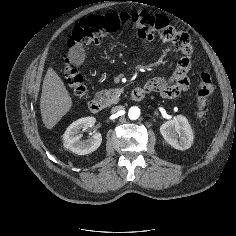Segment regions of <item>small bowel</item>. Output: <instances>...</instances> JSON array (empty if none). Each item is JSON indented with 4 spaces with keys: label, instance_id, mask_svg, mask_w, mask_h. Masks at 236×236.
Instances as JSON below:
<instances>
[{
    "label": "small bowel",
    "instance_id": "c3829d8e",
    "mask_svg": "<svg viewBox=\"0 0 236 236\" xmlns=\"http://www.w3.org/2000/svg\"><path fill=\"white\" fill-rule=\"evenodd\" d=\"M181 34V40L179 42L174 43L177 48H179V50L182 52V56L178 61L174 73L170 76L158 77L148 81L145 85V89L147 92L159 93L162 96L171 97L188 89L189 80L187 75L192 65V46L188 36L184 33ZM183 81H186L188 85L183 91H179L177 83Z\"/></svg>",
    "mask_w": 236,
    "mask_h": 236
}]
</instances>
